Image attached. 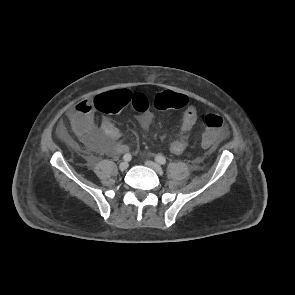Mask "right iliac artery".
Returning <instances> with one entry per match:
<instances>
[{"mask_svg":"<svg viewBox=\"0 0 295 295\" xmlns=\"http://www.w3.org/2000/svg\"><path fill=\"white\" fill-rule=\"evenodd\" d=\"M123 159H124L125 161H130V160L132 159V156H131V154L126 153V154L123 156Z\"/></svg>","mask_w":295,"mask_h":295,"instance_id":"82829eb1","label":"right iliac artery"}]
</instances>
